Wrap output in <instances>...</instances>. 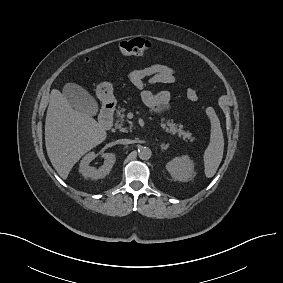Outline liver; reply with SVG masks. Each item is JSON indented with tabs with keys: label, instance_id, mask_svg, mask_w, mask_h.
Wrapping results in <instances>:
<instances>
[{
	"label": "liver",
	"instance_id": "1",
	"mask_svg": "<svg viewBox=\"0 0 283 283\" xmlns=\"http://www.w3.org/2000/svg\"><path fill=\"white\" fill-rule=\"evenodd\" d=\"M106 131L90 115L75 110L66 97L53 89L45 122L48 157L63 179L89 150L101 144Z\"/></svg>",
	"mask_w": 283,
	"mask_h": 283
}]
</instances>
